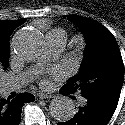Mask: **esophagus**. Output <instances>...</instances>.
Masks as SVG:
<instances>
[{
  "label": "esophagus",
  "mask_w": 125,
  "mask_h": 125,
  "mask_svg": "<svg viewBox=\"0 0 125 125\" xmlns=\"http://www.w3.org/2000/svg\"><path fill=\"white\" fill-rule=\"evenodd\" d=\"M38 97H39L40 99H51V98H53L54 96L51 95V94H48V93L40 92V93H38Z\"/></svg>",
  "instance_id": "esophagus-1"
}]
</instances>
